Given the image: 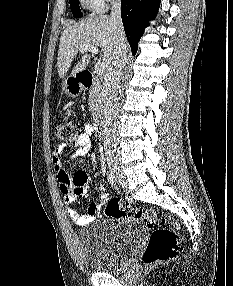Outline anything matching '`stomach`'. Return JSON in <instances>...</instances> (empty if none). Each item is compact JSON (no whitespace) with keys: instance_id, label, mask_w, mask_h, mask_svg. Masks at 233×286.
I'll use <instances>...</instances> for the list:
<instances>
[{"instance_id":"stomach-1","label":"stomach","mask_w":233,"mask_h":286,"mask_svg":"<svg viewBox=\"0 0 233 286\" xmlns=\"http://www.w3.org/2000/svg\"><path fill=\"white\" fill-rule=\"evenodd\" d=\"M64 89H65V92L67 93V94H71V92L68 90V88H67V82H65V84H64Z\"/></svg>"}]
</instances>
